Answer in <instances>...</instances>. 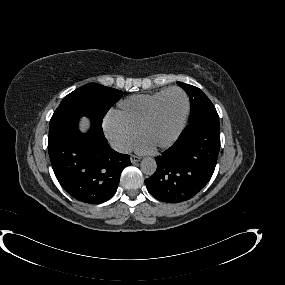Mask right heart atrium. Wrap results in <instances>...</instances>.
Instances as JSON below:
<instances>
[{
    "label": "right heart atrium",
    "instance_id": "obj_1",
    "mask_svg": "<svg viewBox=\"0 0 285 285\" xmlns=\"http://www.w3.org/2000/svg\"><path fill=\"white\" fill-rule=\"evenodd\" d=\"M104 132L119 151H129L136 139V133L125 127L115 115H108L103 123Z\"/></svg>",
    "mask_w": 285,
    "mask_h": 285
}]
</instances>
